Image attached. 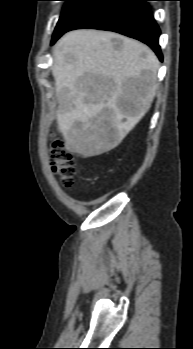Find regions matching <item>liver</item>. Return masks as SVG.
<instances>
[{
	"label": "liver",
	"instance_id": "6515ba94",
	"mask_svg": "<svg viewBox=\"0 0 193 349\" xmlns=\"http://www.w3.org/2000/svg\"><path fill=\"white\" fill-rule=\"evenodd\" d=\"M113 39L122 45L116 49ZM158 68L155 53L137 40L109 31L66 33L53 49L51 68L66 147L85 158L117 147L149 110ZM122 99L135 109L123 112ZM105 109L112 111L110 117Z\"/></svg>",
	"mask_w": 193,
	"mask_h": 349
}]
</instances>
